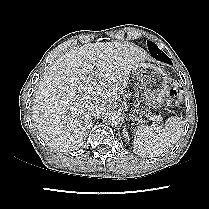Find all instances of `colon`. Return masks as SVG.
<instances>
[{"mask_svg": "<svg viewBox=\"0 0 209 209\" xmlns=\"http://www.w3.org/2000/svg\"><path fill=\"white\" fill-rule=\"evenodd\" d=\"M182 98V91L177 86H172L167 94V102L170 105H176L181 101Z\"/></svg>", "mask_w": 209, "mask_h": 209, "instance_id": "1", "label": "colon"}]
</instances>
